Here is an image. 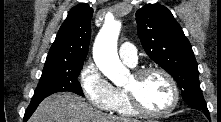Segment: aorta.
<instances>
[{
    "mask_svg": "<svg viewBox=\"0 0 221 122\" xmlns=\"http://www.w3.org/2000/svg\"><path fill=\"white\" fill-rule=\"evenodd\" d=\"M120 29L119 21H106L93 46V58L97 67L115 85L126 83L128 75V70L123 66L117 53Z\"/></svg>",
    "mask_w": 221,
    "mask_h": 122,
    "instance_id": "obj_1",
    "label": "aorta"
}]
</instances>
